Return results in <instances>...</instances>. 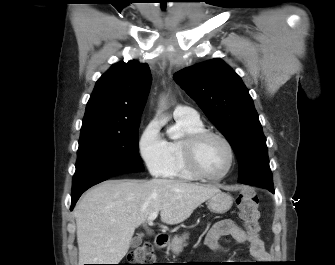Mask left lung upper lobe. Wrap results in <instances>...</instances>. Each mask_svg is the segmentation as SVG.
Instances as JSON below:
<instances>
[{"instance_id": "left-lung-upper-lobe-1", "label": "left lung upper lobe", "mask_w": 335, "mask_h": 265, "mask_svg": "<svg viewBox=\"0 0 335 265\" xmlns=\"http://www.w3.org/2000/svg\"><path fill=\"white\" fill-rule=\"evenodd\" d=\"M174 79L229 141L239 162V182L273 192L266 138L241 78L222 60L211 59L176 72Z\"/></svg>"}]
</instances>
